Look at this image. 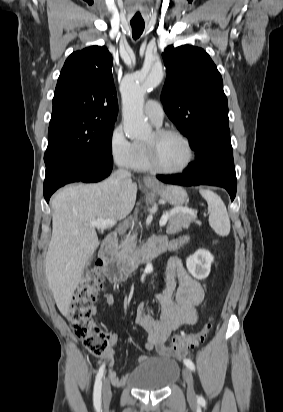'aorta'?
Returning <instances> with one entry per match:
<instances>
[{"label": "aorta", "instance_id": "aorta-1", "mask_svg": "<svg viewBox=\"0 0 283 412\" xmlns=\"http://www.w3.org/2000/svg\"><path fill=\"white\" fill-rule=\"evenodd\" d=\"M163 79L162 71L143 69L142 71L127 75L121 84L122 116L124 132L131 139H143L151 134L143 114L144 95L148 89L157 87ZM153 272V266L147 263L144 273Z\"/></svg>", "mask_w": 283, "mask_h": 412}]
</instances>
